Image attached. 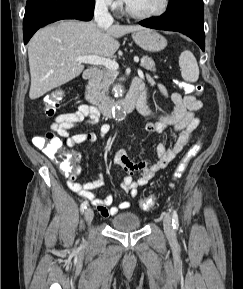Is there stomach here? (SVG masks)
Returning a JSON list of instances; mask_svg holds the SVG:
<instances>
[{"label": "stomach", "instance_id": "stomach-1", "mask_svg": "<svg viewBox=\"0 0 243 289\" xmlns=\"http://www.w3.org/2000/svg\"><path fill=\"white\" fill-rule=\"evenodd\" d=\"M133 40L142 49L158 52L167 46V40L161 34L151 29H141L132 33Z\"/></svg>", "mask_w": 243, "mask_h": 289}]
</instances>
